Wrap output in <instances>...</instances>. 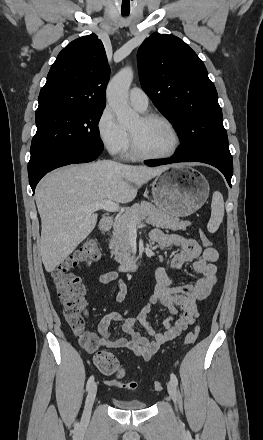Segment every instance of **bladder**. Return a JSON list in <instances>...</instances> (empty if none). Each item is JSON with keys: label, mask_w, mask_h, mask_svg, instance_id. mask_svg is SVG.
<instances>
[{"label": "bladder", "mask_w": 263, "mask_h": 440, "mask_svg": "<svg viewBox=\"0 0 263 440\" xmlns=\"http://www.w3.org/2000/svg\"><path fill=\"white\" fill-rule=\"evenodd\" d=\"M113 404L116 408L121 410H143L146 408V403L138 399H122L114 398Z\"/></svg>", "instance_id": "obj_1"}]
</instances>
